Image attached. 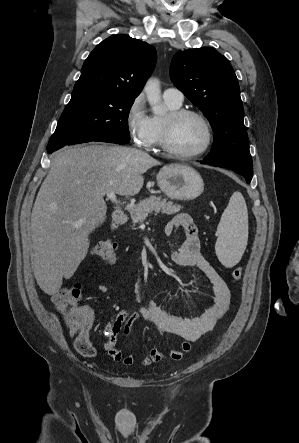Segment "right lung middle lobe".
I'll return each instance as SVG.
<instances>
[{
    "label": "right lung middle lobe",
    "mask_w": 299,
    "mask_h": 443,
    "mask_svg": "<svg viewBox=\"0 0 299 443\" xmlns=\"http://www.w3.org/2000/svg\"><path fill=\"white\" fill-rule=\"evenodd\" d=\"M134 100L108 91H73L48 145L97 135H111L129 142L128 116Z\"/></svg>",
    "instance_id": "right-lung-middle-lobe-1"
}]
</instances>
